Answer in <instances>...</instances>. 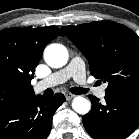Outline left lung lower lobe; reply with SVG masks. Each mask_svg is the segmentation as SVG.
Here are the masks:
<instances>
[{
	"label": "left lung lower lobe",
	"mask_w": 139,
	"mask_h": 139,
	"mask_svg": "<svg viewBox=\"0 0 139 139\" xmlns=\"http://www.w3.org/2000/svg\"><path fill=\"white\" fill-rule=\"evenodd\" d=\"M83 124L94 139H125L139 126V87L105 96V103L93 95Z\"/></svg>",
	"instance_id": "obj_1"
}]
</instances>
